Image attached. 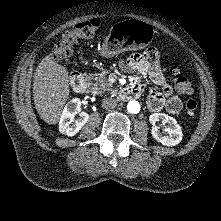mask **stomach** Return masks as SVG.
<instances>
[{
	"label": "stomach",
	"mask_w": 221,
	"mask_h": 221,
	"mask_svg": "<svg viewBox=\"0 0 221 221\" xmlns=\"http://www.w3.org/2000/svg\"><path fill=\"white\" fill-rule=\"evenodd\" d=\"M154 40L155 31L150 24L127 18L111 29L100 55L110 58L122 52H134L151 45Z\"/></svg>",
	"instance_id": "1"
}]
</instances>
